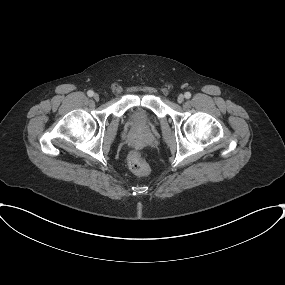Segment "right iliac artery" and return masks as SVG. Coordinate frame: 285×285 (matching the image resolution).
<instances>
[{"instance_id": "1", "label": "right iliac artery", "mask_w": 285, "mask_h": 285, "mask_svg": "<svg viewBox=\"0 0 285 285\" xmlns=\"http://www.w3.org/2000/svg\"><path fill=\"white\" fill-rule=\"evenodd\" d=\"M87 95H88L89 97H92V96L94 95V92H93L92 90H89V91L87 92Z\"/></svg>"}]
</instances>
